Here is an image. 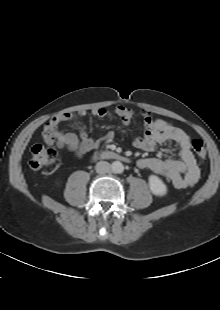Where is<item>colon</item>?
<instances>
[{"label":"colon","instance_id":"colon-1","mask_svg":"<svg viewBox=\"0 0 220 310\" xmlns=\"http://www.w3.org/2000/svg\"><path fill=\"white\" fill-rule=\"evenodd\" d=\"M193 150L201 161L207 158V149L201 140H194L192 143ZM58 158L57 152L41 143H36L31 147V158L29 166L34 170H40L52 165Z\"/></svg>","mask_w":220,"mask_h":310}]
</instances>
